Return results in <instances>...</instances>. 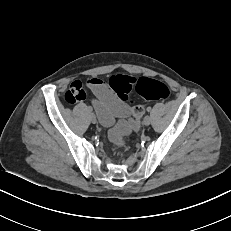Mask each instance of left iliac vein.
<instances>
[{
    "label": "left iliac vein",
    "instance_id": "left-iliac-vein-1",
    "mask_svg": "<svg viewBox=\"0 0 231 231\" xmlns=\"http://www.w3.org/2000/svg\"><path fill=\"white\" fill-rule=\"evenodd\" d=\"M151 123V117L149 115H146L143 119V124L148 126Z\"/></svg>",
    "mask_w": 231,
    "mask_h": 231
}]
</instances>
